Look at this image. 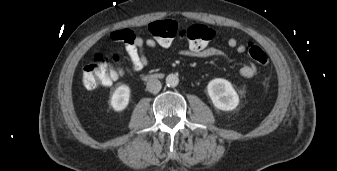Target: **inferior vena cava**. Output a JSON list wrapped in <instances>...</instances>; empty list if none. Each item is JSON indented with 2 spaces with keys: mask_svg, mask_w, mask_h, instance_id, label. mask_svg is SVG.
Returning a JSON list of instances; mask_svg holds the SVG:
<instances>
[{
  "mask_svg": "<svg viewBox=\"0 0 337 171\" xmlns=\"http://www.w3.org/2000/svg\"><path fill=\"white\" fill-rule=\"evenodd\" d=\"M146 88L151 93H158L162 88V84L158 79H150L147 82Z\"/></svg>",
  "mask_w": 337,
  "mask_h": 171,
  "instance_id": "obj_1",
  "label": "inferior vena cava"
}]
</instances>
